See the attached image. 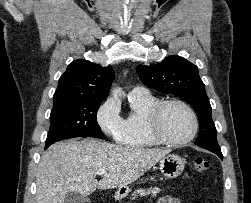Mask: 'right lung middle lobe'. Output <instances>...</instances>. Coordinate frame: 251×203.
Returning a JSON list of instances; mask_svg holds the SVG:
<instances>
[{"label":"right lung middle lobe","mask_w":251,"mask_h":203,"mask_svg":"<svg viewBox=\"0 0 251 203\" xmlns=\"http://www.w3.org/2000/svg\"><path fill=\"white\" fill-rule=\"evenodd\" d=\"M102 100H79L54 106L45 149L61 139L74 137L103 138L96 119Z\"/></svg>","instance_id":"obj_1"}]
</instances>
